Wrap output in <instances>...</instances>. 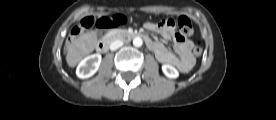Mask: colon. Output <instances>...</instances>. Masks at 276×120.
I'll use <instances>...</instances> for the list:
<instances>
[{"instance_id":"5ec220e1","label":"colon","mask_w":276,"mask_h":120,"mask_svg":"<svg viewBox=\"0 0 276 120\" xmlns=\"http://www.w3.org/2000/svg\"><path fill=\"white\" fill-rule=\"evenodd\" d=\"M93 24L94 21L91 17L87 16L83 18L78 25L76 24L71 27V36L69 40H72L76 35L80 33L81 30L87 29ZM95 24L101 29H107L108 27H111L113 25L117 27H123L126 24V19L123 16L114 15L111 20H108L107 18H101ZM159 24L166 27L175 26V22L172 19L163 20ZM177 26L179 30L178 34L180 37L185 38L193 33L192 22L187 16L179 17L177 20ZM192 51L195 56H200L202 54L203 43L201 40L194 41Z\"/></svg>"}]
</instances>
